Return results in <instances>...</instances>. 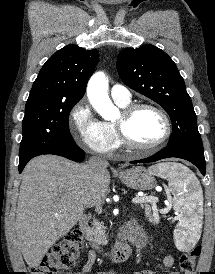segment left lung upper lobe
Here are the masks:
<instances>
[{
	"label": "left lung upper lobe",
	"instance_id": "left-lung-upper-lobe-1",
	"mask_svg": "<svg viewBox=\"0 0 215 274\" xmlns=\"http://www.w3.org/2000/svg\"><path fill=\"white\" fill-rule=\"evenodd\" d=\"M117 70L127 86L157 102L169 114L173 132L168 146L203 150L184 80L164 51L151 44L124 49L118 55Z\"/></svg>",
	"mask_w": 215,
	"mask_h": 274
}]
</instances>
